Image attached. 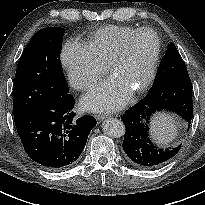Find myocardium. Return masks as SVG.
Masks as SVG:
<instances>
[{"label":"myocardium","mask_w":205,"mask_h":205,"mask_svg":"<svg viewBox=\"0 0 205 205\" xmlns=\"http://www.w3.org/2000/svg\"><path fill=\"white\" fill-rule=\"evenodd\" d=\"M141 34L153 35L155 38V41H156V49H155V53H154V56L152 58V61H151L150 67H149V71H148V74H147L145 80L143 81V83L140 86H138L137 88H135L133 90V93H140V92H143L144 90H146L152 84V82L155 78L156 71H157L158 64H159V60H160V56H161V51H162L161 39L158 36V34L150 28H140V29L135 30L134 32H132L131 34H129L128 36L125 37L120 48L113 55V57L111 58V60L108 64L109 71L111 73H113L116 66L127 56L131 42L137 36H139Z\"/></svg>","instance_id":"1"}]
</instances>
